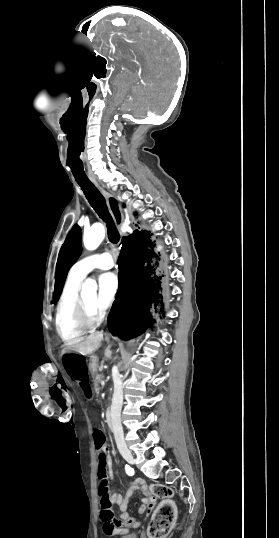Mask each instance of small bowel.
Returning <instances> with one entry per match:
<instances>
[{
	"label": "small bowel",
	"instance_id": "c3829d8e",
	"mask_svg": "<svg viewBox=\"0 0 279 538\" xmlns=\"http://www.w3.org/2000/svg\"><path fill=\"white\" fill-rule=\"evenodd\" d=\"M106 465L108 467L109 475L113 479L112 460L109 456L106 459ZM135 490L141 491L144 495L139 507L140 514L146 513V516H149L154 509L155 501L152 498L147 484L142 479H135L131 481V488L124 496L118 492H114L111 495L112 502L119 506L121 514L119 516H112L110 518L103 515L101 516L102 520L104 521V531L106 534H125L128 533L130 529H136L140 526L141 521L135 517H130L126 512L129 498Z\"/></svg>",
	"mask_w": 279,
	"mask_h": 538
}]
</instances>
